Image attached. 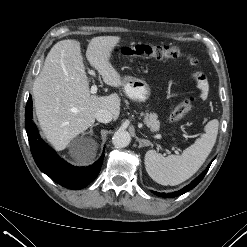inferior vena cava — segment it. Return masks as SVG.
I'll return each instance as SVG.
<instances>
[{
  "label": "inferior vena cava",
  "mask_w": 247,
  "mask_h": 247,
  "mask_svg": "<svg viewBox=\"0 0 247 247\" xmlns=\"http://www.w3.org/2000/svg\"><path fill=\"white\" fill-rule=\"evenodd\" d=\"M95 118L101 123H109L113 119V115L106 109H99L95 113Z\"/></svg>",
  "instance_id": "1"
}]
</instances>
